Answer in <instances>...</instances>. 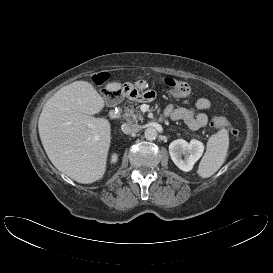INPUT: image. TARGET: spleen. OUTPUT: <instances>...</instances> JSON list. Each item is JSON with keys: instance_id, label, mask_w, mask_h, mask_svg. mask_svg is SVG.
I'll return each instance as SVG.
<instances>
[{"instance_id": "3e777b00", "label": "spleen", "mask_w": 273, "mask_h": 273, "mask_svg": "<svg viewBox=\"0 0 273 273\" xmlns=\"http://www.w3.org/2000/svg\"><path fill=\"white\" fill-rule=\"evenodd\" d=\"M228 147V130L221 128L209 138L207 149L199 163L197 174L202 178H209L216 173L225 162Z\"/></svg>"}]
</instances>
